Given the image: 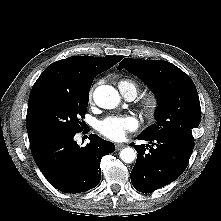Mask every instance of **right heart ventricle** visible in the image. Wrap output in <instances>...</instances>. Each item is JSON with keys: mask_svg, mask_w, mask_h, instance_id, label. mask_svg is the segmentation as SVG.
Masks as SVG:
<instances>
[{"mask_svg": "<svg viewBox=\"0 0 221 221\" xmlns=\"http://www.w3.org/2000/svg\"><path fill=\"white\" fill-rule=\"evenodd\" d=\"M118 87L123 95L134 94L137 95L138 84L136 81L130 78H125L119 81Z\"/></svg>", "mask_w": 221, "mask_h": 221, "instance_id": "obj_1", "label": "right heart ventricle"}]
</instances>
